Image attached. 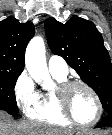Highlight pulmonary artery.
<instances>
[{"mask_svg": "<svg viewBox=\"0 0 112 135\" xmlns=\"http://www.w3.org/2000/svg\"><path fill=\"white\" fill-rule=\"evenodd\" d=\"M48 69L51 74H56L59 76H67L68 65L67 63L58 56H50L48 59Z\"/></svg>", "mask_w": 112, "mask_h": 135, "instance_id": "obj_1", "label": "pulmonary artery"}]
</instances>
